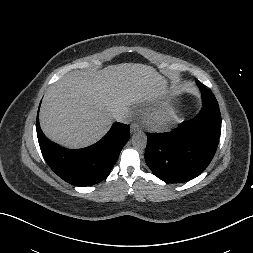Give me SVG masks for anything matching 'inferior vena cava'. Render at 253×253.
<instances>
[{"mask_svg":"<svg viewBox=\"0 0 253 253\" xmlns=\"http://www.w3.org/2000/svg\"><path fill=\"white\" fill-rule=\"evenodd\" d=\"M114 119L118 122H122V123H128L131 121V118L129 116V113L127 110L121 111V112H117L114 114Z\"/></svg>","mask_w":253,"mask_h":253,"instance_id":"602c4592","label":"inferior vena cava"}]
</instances>
